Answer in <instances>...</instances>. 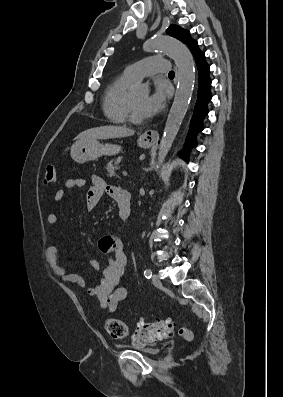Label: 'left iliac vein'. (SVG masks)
I'll return each mask as SVG.
<instances>
[{"instance_id":"obj_1","label":"left iliac vein","mask_w":283,"mask_h":397,"mask_svg":"<svg viewBox=\"0 0 283 397\" xmlns=\"http://www.w3.org/2000/svg\"><path fill=\"white\" fill-rule=\"evenodd\" d=\"M152 282H153V284H154L156 287H158V288H160V287L162 286L161 281H160L158 275H156V274H153V276H152Z\"/></svg>"}]
</instances>
